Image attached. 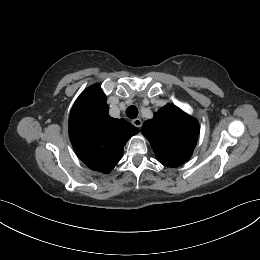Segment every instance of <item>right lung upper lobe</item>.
I'll return each mask as SVG.
<instances>
[{"mask_svg":"<svg viewBox=\"0 0 260 260\" xmlns=\"http://www.w3.org/2000/svg\"><path fill=\"white\" fill-rule=\"evenodd\" d=\"M99 84L85 89L69 116V136L78 157L91 170L109 173L123 148L139 129L125 119L112 118Z\"/></svg>","mask_w":260,"mask_h":260,"instance_id":"cb5924a9","label":"right lung upper lobe"}]
</instances>
